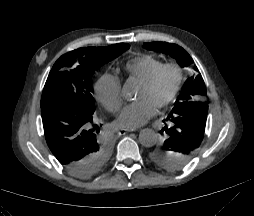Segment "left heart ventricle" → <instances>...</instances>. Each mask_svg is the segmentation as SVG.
I'll return each mask as SVG.
<instances>
[{"label":"left heart ventricle","instance_id":"b2bd125f","mask_svg":"<svg viewBox=\"0 0 254 216\" xmlns=\"http://www.w3.org/2000/svg\"><path fill=\"white\" fill-rule=\"evenodd\" d=\"M174 78V73L172 71H164L152 87L146 88L140 85L137 90L136 98L147 99L156 106L170 93L174 84Z\"/></svg>","mask_w":254,"mask_h":216}]
</instances>
